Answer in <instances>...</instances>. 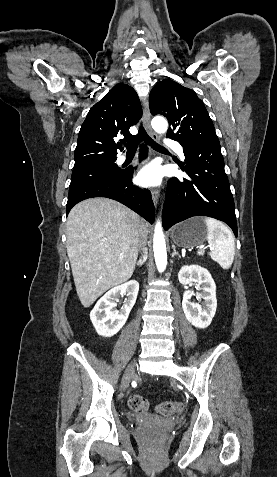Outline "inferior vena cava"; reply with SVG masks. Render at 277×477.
I'll return each instance as SVG.
<instances>
[{
    "label": "inferior vena cava",
    "mask_w": 277,
    "mask_h": 477,
    "mask_svg": "<svg viewBox=\"0 0 277 477\" xmlns=\"http://www.w3.org/2000/svg\"><path fill=\"white\" fill-rule=\"evenodd\" d=\"M146 240H147V233L144 229H141L140 231V250L143 251V256H145V254L147 253V249H146Z\"/></svg>",
    "instance_id": "obj_1"
}]
</instances>
